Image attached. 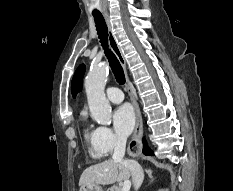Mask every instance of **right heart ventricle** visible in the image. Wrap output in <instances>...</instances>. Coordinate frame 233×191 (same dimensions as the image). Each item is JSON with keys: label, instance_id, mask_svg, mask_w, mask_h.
Masks as SVG:
<instances>
[{"label": "right heart ventricle", "instance_id": "1", "mask_svg": "<svg viewBox=\"0 0 233 191\" xmlns=\"http://www.w3.org/2000/svg\"><path fill=\"white\" fill-rule=\"evenodd\" d=\"M84 138L88 144L89 154L94 159H101L105 154L100 150L96 140V129L89 127L84 130Z\"/></svg>", "mask_w": 233, "mask_h": 191}]
</instances>
